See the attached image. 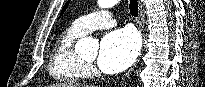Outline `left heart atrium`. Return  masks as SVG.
<instances>
[{"label": "left heart atrium", "mask_w": 205, "mask_h": 87, "mask_svg": "<svg viewBox=\"0 0 205 87\" xmlns=\"http://www.w3.org/2000/svg\"><path fill=\"white\" fill-rule=\"evenodd\" d=\"M140 48L137 33L130 28L109 32L101 41L98 55L99 68L107 73H117L129 67Z\"/></svg>", "instance_id": "left-heart-atrium-1"}]
</instances>
